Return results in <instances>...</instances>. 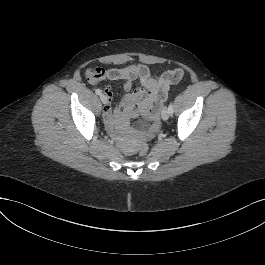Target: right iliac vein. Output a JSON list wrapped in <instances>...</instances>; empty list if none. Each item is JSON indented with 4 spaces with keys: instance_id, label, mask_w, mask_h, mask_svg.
<instances>
[{
    "instance_id": "1",
    "label": "right iliac vein",
    "mask_w": 265,
    "mask_h": 265,
    "mask_svg": "<svg viewBox=\"0 0 265 265\" xmlns=\"http://www.w3.org/2000/svg\"><path fill=\"white\" fill-rule=\"evenodd\" d=\"M100 99H101V101H102L103 104H106L107 103V98H106V96L104 94H102L100 96Z\"/></svg>"
}]
</instances>
